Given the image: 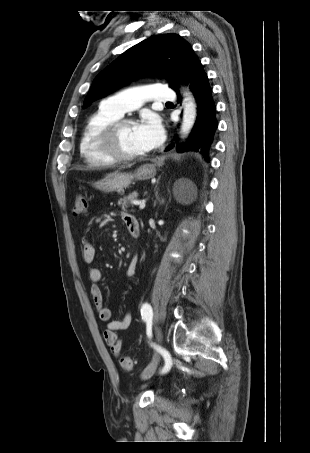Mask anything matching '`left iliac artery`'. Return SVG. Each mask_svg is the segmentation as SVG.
I'll list each match as a JSON object with an SVG mask.
<instances>
[{
    "mask_svg": "<svg viewBox=\"0 0 310 453\" xmlns=\"http://www.w3.org/2000/svg\"><path fill=\"white\" fill-rule=\"evenodd\" d=\"M141 316H142V319L144 321H146L147 323H151L152 322V318H153V311H152V307L148 304V303H144L141 307ZM154 348H156L157 350H159L161 352V354L163 355L164 357V360H165V366L163 367V369L161 370V373L164 374L166 372H168L171 368V358H170V355L169 353L164 350V349H161L160 347H157L156 345H153Z\"/></svg>",
    "mask_w": 310,
    "mask_h": 453,
    "instance_id": "44dca946",
    "label": "left iliac artery"
}]
</instances>
